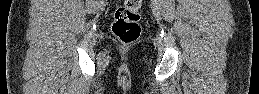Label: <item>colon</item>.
Here are the masks:
<instances>
[{"instance_id": "obj_1", "label": "colon", "mask_w": 259, "mask_h": 94, "mask_svg": "<svg viewBox=\"0 0 259 94\" xmlns=\"http://www.w3.org/2000/svg\"><path fill=\"white\" fill-rule=\"evenodd\" d=\"M141 0H125L114 12L112 32L124 44L134 42L140 36Z\"/></svg>"}]
</instances>
